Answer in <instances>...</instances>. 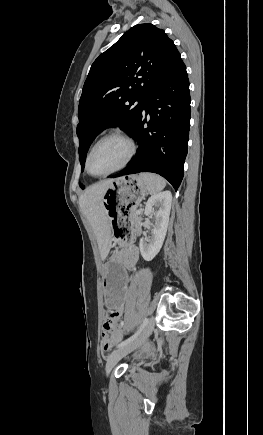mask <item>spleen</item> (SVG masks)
Returning <instances> with one entry per match:
<instances>
[{
	"instance_id": "3e777b00",
	"label": "spleen",
	"mask_w": 263,
	"mask_h": 435,
	"mask_svg": "<svg viewBox=\"0 0 263 435\" xmlns=\"http://www.w3.org/2000/svg\"><path fill=\"white\" fill-rule=\"evenodd\" d=\"M139 177L146 183L150 194H156L163 190L166 186V181L156 174L141 173Z\"/></svg>"
}]
</instances>
